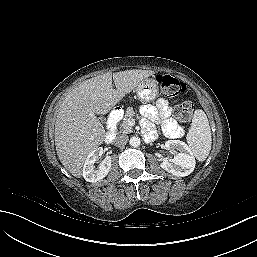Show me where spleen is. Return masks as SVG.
I'll list each match as a JSON object with an SVG mask.
<instances>
[{
  "instance_id": "1",
  "label": "spleen",
  "mask_w": 257,
  "mask_h": 257,
  "mask_svg": "<svg viewBox=\"0 0 257 257\" xmlns=\"http://www.w3.org/2000/svg\"><path fill=\"white\" fill-rule=\"evenodd\" d=\"M186 140L193 156L198 161H204L208 157L212 138L209 122L203 110H195Z\"/></svg>"
}]
</instances>
